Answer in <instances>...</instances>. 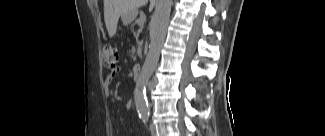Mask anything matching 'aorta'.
<instances>
[{
	"instance_id": "aorta-1",
	"label": "aorta",
	"mask_w": 325,
	"mask_h": 136,
	"mask_svg": "<svg viewBox=\"0 0 325 136\" xmlns=\"http://www.w3.org/2000/svg\"><path fill=\"white\" fill-rule=\"evenodd\" d=\"M172 0H159L151 19L149 51L136 82L134 91L135 105L139 113L149 112L146 88L151 75L156 69L160 51L165 41L170 18Z\"/></svg>"
}]
</instances>
